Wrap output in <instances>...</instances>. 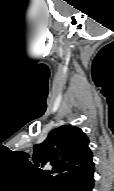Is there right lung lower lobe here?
<instances>
[{
    "mask_svg": "<svg viewBox=\"0 0 114 191\" xmlns=\"http://www.w3.org/2000/svg\"><path fill=\"white\" fill-rule=\"evenodd\" d=\"M94 169L71 178L66 179L58 187L59 191H92L94 185Z\"/></svg>",
    "mask_w": 114,
    "mask_h": 191,
    "instance_id": "98d812e1",
    "label": "right lung lower lobe"
}]
</instances>
